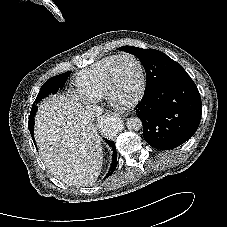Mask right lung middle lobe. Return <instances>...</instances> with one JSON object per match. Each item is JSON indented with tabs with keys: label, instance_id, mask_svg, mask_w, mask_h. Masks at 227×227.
Segmentation results:
<instances>
[{
	"label": "right lung middle lobe",
	"instance_id": "1",
	"mask_svg": "<svg viewBox=\"0 0 227 227\" xmlns=\"http://www.w3.org/2000/svg\"><path fill=\"white\" fill-rule=\"evenodd\" d=\"M71 74V71L62 73L60 75L54 76L50 79H48L41 87L34 103L31 109V113H30V119H29V123H28V128L30 130L31 136L34 140V116L36 114L37 108L35 107L36 104L43 98L47 97L50 94H55L58 92V90L62 89L66 80L68 79L69 75Z\"/></svg>",
	"mask_w": 227,
	"mask_h": 227
}]
</instances>
